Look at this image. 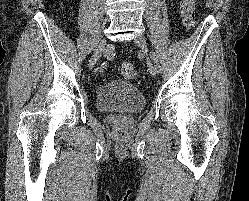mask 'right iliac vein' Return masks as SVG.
I'll return each instance as SVG.
<instances>
[{"instance_id": "63e3f726", "label": "right iliac vein", "mask_w": 249, "mask_h": 201, "mask_svg": "<svg viewBox=\"0 0 249 201\" xmlns=\"http://www.w3.org/2000/svg\"><path fill=\"white\" fill-rule=\"evenodd\" d=\"M105 47L106 41L105 39H101L89 60L90 67H93L96 64L97 60L100 58L101 54L105 50Z\"/></svg>"}]
</instances>
